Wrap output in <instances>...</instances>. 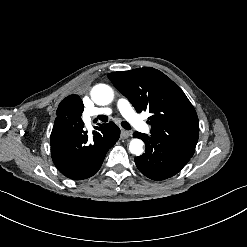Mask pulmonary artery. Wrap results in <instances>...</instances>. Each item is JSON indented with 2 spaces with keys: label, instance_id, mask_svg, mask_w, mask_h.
Segmentation results:
<instances>
[{
  "label": "pulmonary artery",
  "instance_id": "e3ab8cb5",
  "mask_svg": "<svg viewBox=\"0 0 247 247\" xmlns=\"http://www.w3.org/2000/svg\"><path fill=\"white\" fill-rule=\"evenodd\" d=\"M116 108L121 113V115L128 121L132 122V124L137 129L144 130L148 133L151 131V126L146 123V117L137 114L131 102L127 98L119 97L116 100ZM113 112L114 110L110 107L86 110L84 112L83 118L85 125L89 126L91 124L92 118L96 115H111ZM141 134L143 135L144 133L142 132Z\"/></svg>",
  "mask_w": 247,
  "mask_h": 247
}]
</instances>
